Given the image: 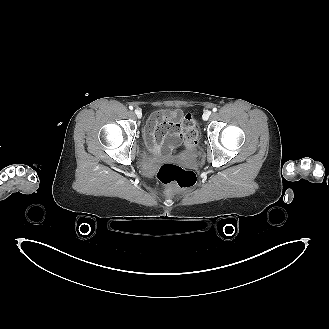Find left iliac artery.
<instances>
[{
  "mask_svg": "<svg viewBox=\"0 0 329 329\" xmlns=\"http://www.w3.org/2000/svg\"><path fill=\"white\" fill-rule=\"evenodd\" d=\"M213 112H216L217 111V108H213V110H212Z\"/></svg>",
  "mask_w": 329,
  "mask_h": 329,
  "instance_id": "obj_1",
  "label": "left iliac artery"
}]
</instances>
